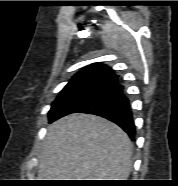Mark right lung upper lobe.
<instances>
[{
    "label": "right lung upper lobe",
    "mask_w": 178,
    "mask_h": 186,
    "mask_svg": "<svg viewBox=\"0 0 178 186\" xmlns=\"http://www.w3.org/2000/svg\"><path fill=\"white\" fill-rule=\"evenodd\" d=\"M118 82L119 76L114 70L104 64L94 63L75 74L64 89L92 84L113 86Z\"/></svg>",
    "instance_id": "right-lung-upper-lobe-1"
}]
</instances>
